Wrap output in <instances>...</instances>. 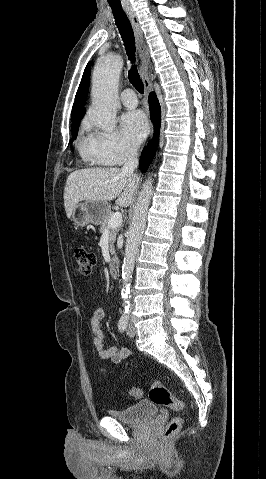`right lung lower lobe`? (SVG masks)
I'll use <instances>...</instances> for the list:
<instances>
[{
    "label": "right lung lower lobe",
    "instance_id": "1",
    "mask_svg": "<svg viewBox=\"0 0 266 479\" xmlns=\"http://www.w3.org/2000/svg\"><path fill=\"white\" fill-rule=\"evenodd\" d=\"M149 106L151 119L154 125V137L152 141L148 144V147H145L143 149L140 157L139 166L143 173L146 172L155 155L158 146L161 125V107L155 93L153 92L149 95Z\"/></svg>",
    "mask_w": 266,
    "mask_h": 479
}]
</instances>
